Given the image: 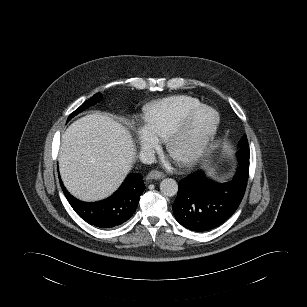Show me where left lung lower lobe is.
Returning a JSON list of instances; mask_svg holds the SVG:
<instances>
[{
  "label": "left lung lower lobe",
  "mask_w": 307,
  "mask_h": 307,
  "mask_svg": "<svg viewBox=\"0 0 307 307\" xmlns=\"http://www.w3.org/2000/svg\"><path fill=\"white\" fill-rule=\"evenodd\" d=\"M238 157L236 175L225 184L206 178L202 171L179 182L173 213L182 226L204 232L220 226L234 214L244 196L249 175V157Z\"/></svg>",
  "instance_id": "left-lung-lower-lobe-1"
}]
</instances>
